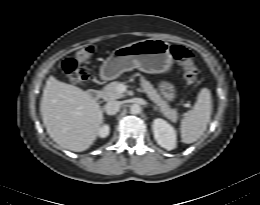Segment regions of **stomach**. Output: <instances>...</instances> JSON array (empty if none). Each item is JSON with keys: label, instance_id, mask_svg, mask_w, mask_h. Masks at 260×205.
I'll use <instances>...</instances> for the list:
<instances>
[{"label": "stomach", "instance_id": "stomach-1", "mask_svg": "<svg viewBox=\"0 0 260 205\" xmlns=\"http://www.w3.org/2000/svg\"><path fill=\"white\" fill-rule=\"evenodd\" d=\"M172 64L170 44L163 39L149 38L115 49L104 61L100 74L108 81L134 68L145 73H165Z\"/></svg>", "mask_w": 260, "mask_h": 205}]
</instances>
